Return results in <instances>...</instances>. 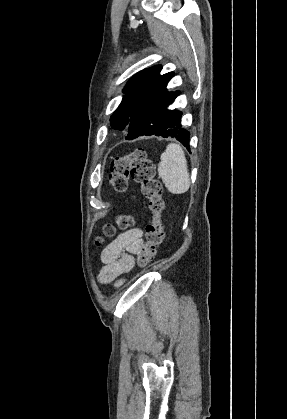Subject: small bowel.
Instances as JSON below:
<instances>
[{
    "instance_id": "c3829d8e",
    "label": "small bowel",
    "mask_w": 287,
    "mask_h": 419,
    "mask_svg": "<svg viewBox=\"0 0 287 419\" xmlns=\"http://www.w3.org/2000/svg\"><path fill=\"white\" fill-rule=\"evenodd\" d=\"M143 245L142 230L133 228L119 234L101 252L103 267L98 275L101 283L116 280L115 285L122 284L121 276L134 266L133 253Z\"/></svg>"
}]
</instances>
